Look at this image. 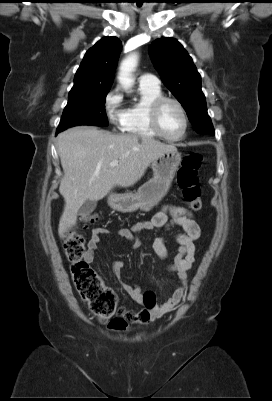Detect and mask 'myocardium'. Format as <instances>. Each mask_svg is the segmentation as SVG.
<instances>
[{"label": "myocardium", "instance_id": "1", "mask_svg": "<svg viewBox=\"0 0 272 401\" xmlns=\"http://www.w3.org/2000/svg\"><path fill=\"white\" fill-rule=\"evenodd\" d=\"M168 103H173L175 104L178 109L180 110L182 116H183V120H184V128H183V132L180 136L178 137H170L168 136L162 129L161 124H160V115H161V111L164 108V106ZM149 120H150V124L152 129L156 132V134L165 139L166 141L169 142H178L181 141L185 138L188 128H189V119H188V115L186 112L185 107L183 106V104L176 98H172V97H166V96H162L158 99H156L151 107H150V111H149Z\"/></svg>", "mask_w": 272, "mask_h": 401}]
</instances>
